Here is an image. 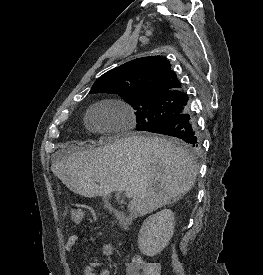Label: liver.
Returning <instances> with one entry per match:
<instances>
[{
	"label": "liver",
	"instance_id": "obj_1",
	"mask_svg": "<svg viewBox=\"0 0 263 275\" xmlns=\"http://www.w3.org/2000/svg\"><path fill=\"white\" fill-rule=\"evenodd\" d=\"M54 157L53 174L76 194L91 198L130 192L131 217L149 214L184 196L198 173L186 149L157 136H127Z\"/></svg>",
	"mask_w": 263,
	"mask_h": 275
}]
</instances>
